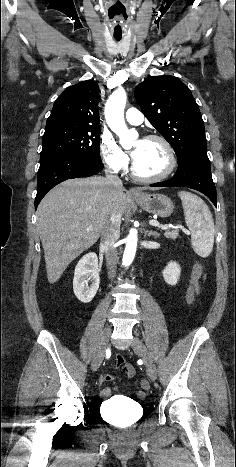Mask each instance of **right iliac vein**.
Returning a JSON list of instances; mask_svg holds the SVG:
<instances>
[{
    "label": "right iliac vein",
    "mask_w": 236,
    "mask_h": 467,
    "mask_svg": "<svg viewBox=\"0 0 236 467\" xmlns=\"http://www.w3.org/2000/svg\"><path fill=\"white\" fill-rule=\"evenodd\" d=\"M110 334H111V328L110 326H106L101 334V337H100V340H99V343H98V346L95 352V356L91 364L92 371H97L103 361V358L105 356V351L108 346Z\"/></svg>",
    "instance_id": "right-iliac-vein-1"
}]
</instances>
